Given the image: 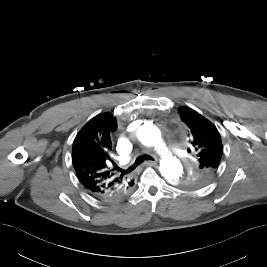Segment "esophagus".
<instances>
[{"label":"esophagus","instance_id":"obj_1","mask_svg":"<svg viewBox=\"0 0 267 267\" xmlns=\"http://www.w3.org/2000/svg\"><path fill=\"white\" fill-rule=\"evenodd\" d=\"M143 164L144 165L155 166L157 164V161L156 160H153V161H145Z\"/></svg>","mask_w":267,"mask_h":267}]
</instances>
